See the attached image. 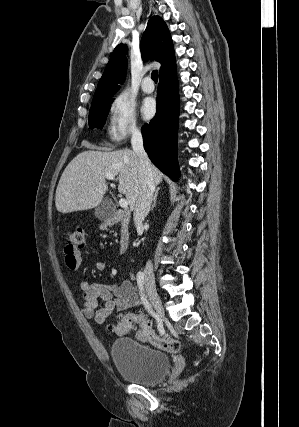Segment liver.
<instances>
[{"mask_svg": "<svg viewBox=\"0 0 299 427\" xmlns=\"http://www.w3.org/2000/svg\"><path fill=\"white\" fill-rule=\"evenodd\" d=\"M155 185L163 174L151 164ZM106 173L117 176L118 191L125 195L133 210L140 188L138 158L129 149L112 152L88 150L78 154L65 168L59 180L55 203L61 213L89 210L97 207L106 191Z\"/></svg>", "mask_w": 299, "mask_h": 427, "instance_id": "obj_1", "label": "liver"}]
</instances>
